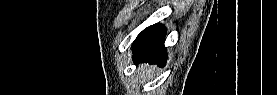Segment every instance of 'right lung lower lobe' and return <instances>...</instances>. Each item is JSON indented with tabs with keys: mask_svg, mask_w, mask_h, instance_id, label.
Instances as JSON below:
<instances>
[{
	"mask_svg": "<svg viewBox=\"0 0 277 95\" xmlns=\"http://www.w3.org/2000/svg\"><path fill=\"white\" fill-rule=\"evenodd\" d=\"M165 35L166 28L161 24H154L144 29L132 44L133 60L163 66L168 58L164 46Z\"/></svg>",
	"mask_w": 277,
	"mask_h": 95,
	"instance_id": "1",
	"label": "right lung lower lobe"
}]
</instances>
